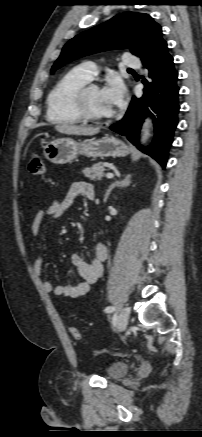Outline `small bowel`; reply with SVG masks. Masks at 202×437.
I'll use <instances>...</instances> for the list:
<instances>
[{"instance_id":"obj_1","label":"small bowel","mask_w":202,"mask_h":437,"mask_svg":"<svg viewBox=\"0 0 202 437\" xmlns=\"http://www.w3.org/2000/svg\"><path fill=\"white\" fill-rule=\"evenodd\" d=\"M95 196L94 187L91 183L79 181L73 183L67 194L62 200H53L47 207L40 209L32 222L31 231L33 238H37L40 234V228L45 217L52 220L59 219L73 205L78 197L93 199ZM106 247L99 243L96 245L94 257L91 260H86L82 255L74 253L71 255V263L76 268L81 282L77 284L54 285L51 281H44L42 284L43 290L47 293H53L55 296H65L78 298L86 295L91 286L100 278L103 272V262L106 259ZM43 256L37 255L34 261V272L40 277L42 275Z\"/></svg>"}]
</instances>
